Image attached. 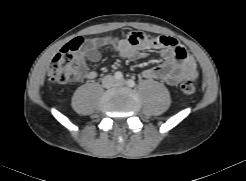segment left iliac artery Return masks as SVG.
<instances>
[{"mask_svg": "<svg viewBox=\"0 0 246 181\" xmlns=\"http://www.w3.org/2000/svg\"><path fill=\"white\" fill-rule=\"evenodd\" d=\"M127 85H128L129 87H134V86L136 85V83H135L134 80L129 79V80L127 81Z\"/></svg>", "mask_w": 246, "mask_h": 181, "instance_id": "44dca946", "label": "left iliac artery"}]
</instances>
